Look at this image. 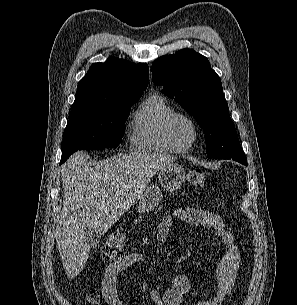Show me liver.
I'll return each instance as SVG.
<instances>
[{
	"label": "liver",
	"instance_id": "1",
	"mask_svg": "<svg viewBox=\"0 0 297 305\" xmlns=\"http://www.w3.org/2000/svg\"><path fill=\"white\" fill-rule=\"evenodd\" d=\"M83 152L73 154L62 166L63 208L55 238L67 278L84 268L90 247L87 228L104 234L139 200L159 170L174 156L140 152L118 155L89 167Z\"/></svg>",
	"mask_w": 297,
	"mask_h": 305
}]
</instances>
